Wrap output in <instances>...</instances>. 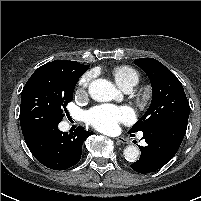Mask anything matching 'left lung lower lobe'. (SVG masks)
<instances>
[{
    "mask_svg": "<svg viewBox=\"0 0 201 201\" xmlns=\"http://www.w3.org/2000/svg\"><path fill=\"white\" fill-rule=\"evenodd\" d=\"M185 120H165L143 130L146 146H139L141 156L130 167L138 173L156 171L168 163L178 151L187 129Z\"/></svg>",
    "mask_w": 201,
    "mask_h": 201,
    "instance_id": "1",
    "label": "left lung lower lobe"
}]
</instances>
